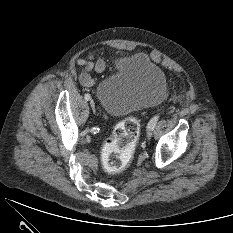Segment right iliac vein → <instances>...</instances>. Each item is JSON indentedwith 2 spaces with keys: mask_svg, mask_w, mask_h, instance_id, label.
<instances>
[{
  "mask_svg": "<svg viewBox=\"0 0 233 233\" xmlns=\"http://www.w3.org/2000/svg\"><path fill=\"white\" fill-rule=\"evenodd\" d=\"M90 106H91L93 112L95 113L96 112V108H95V103H94L93 100H90Z\"/></svg>",
  "mask_w": 233,
  "mask_h": 233,
  "instance_id": "1",
  "label": "right iliac vein"
}]
</instances>
